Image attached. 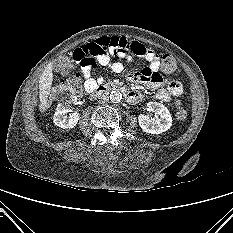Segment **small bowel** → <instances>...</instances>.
<instances>
[{
  "instance_id": "small-bowel-1",
  "label": "small bowel",
  "mask_w": 233,
  "mask_h": 233,
  "mask_svg": "<svg viewBox=\"0 0 233 233\" xmlns=\"http://www.w3.org/2000/svg\"><path fill=\"white\" fill-rule=\"evenodd\" d=\"M131 53L147 61L148 65L140 72H129L127 74L129 81L146 84L156 91L155 96L160 101H169L173 96L182 93L183 88L179 81L163 80L160 56L153 49L124 37H101L82 44L73 51V59L80 66L86 91L91 92L102 82L101 77H93V69L97 63L115 73H120L124 70V63L133 61ZM132 96L130 102H137L143 98L139 91H133Z\"/></svg>"
}]
</instances>
